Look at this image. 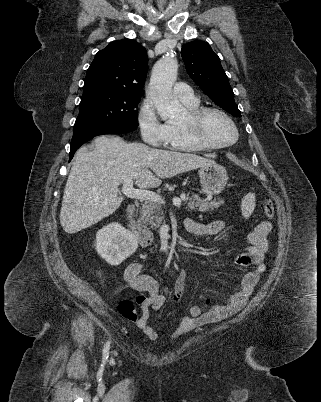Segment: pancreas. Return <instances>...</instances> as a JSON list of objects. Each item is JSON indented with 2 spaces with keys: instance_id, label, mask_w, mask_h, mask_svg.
Here are the masks:
<instances>
[{
  "instance_id": "1",
  "label": "pancreas",
  "mask_w": 321,
  "mask_h": 402,
  "mask_svg": "<svg viewBox=\"0 0 321 402\" xmlns=\"http://www.w3.org/2000/svg\"><path fill=\"white\" fill-rule=\"evenodd\" d=\"M187 200V208L189 210L198 209L200 212L212 211L218 208L220 205L224 204L223 199H218V201H207L202 200L197 195H194L191 198H186V201ZM140 216L142 222L148 225L151 229L159 228L164 221L163 210L161 209L160 203L150 200H146L142 205Z\"/></svg>"
}]
</instances>
